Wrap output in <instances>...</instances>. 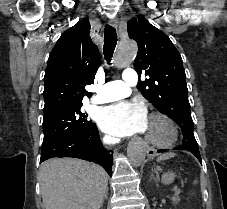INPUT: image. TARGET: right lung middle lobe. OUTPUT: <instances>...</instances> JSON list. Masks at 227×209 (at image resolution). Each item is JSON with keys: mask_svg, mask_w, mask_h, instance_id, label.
Segmentation results:
<instances>
[{"mask_svg": "<svg viewBox=\"0 0 227 209\" xmlns=\"http://www.w3.org/2000/svg\"><path fill=\"white\" fill-rule=\"evenodd\" d=\"M82 100L53 98L45 102L43 144L71 133L89 130L95 125L80 111Z\"/></svg>", "mask_w": 227, "mask_h": 209, "instance_id": "dd1d6c3e", "label": "right lung middle lobe"}]
</instances>
